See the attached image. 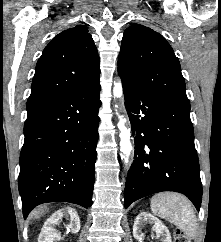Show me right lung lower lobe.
<instances>
[{
  "mask_svg": "<svg viewBox=\"0 0 221 242\" xmlns=\"http://www.w3.org/2000/svg\"><path fill=\"white\" fill-rule=\"evenodd\" d=\"M99 93L98 74L68 94L27 105L18 180L24 218L45 202L92 205Z\"/></svg>",
  "mask_w": 221,
  "mask_h": 242,
  "instance_id": "1",
  "label": "right lung lower lobe"
}]
</instances>
